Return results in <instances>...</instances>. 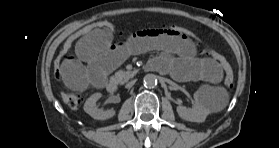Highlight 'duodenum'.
<instances>
[{"mask_svg":"<svg viewBox=\"0 0 279 148\" xmlns=\"http://www.w3.org/2000/svg\"><path fill=\"white\" fill-rule=\"evenodd\" d=\"M118 87H119V82L117 79L109 80L107 84V89L109 92H116L118 90Z\"/></svg>","mask_w":279,"mask_h":148,"instance_id":"410a0bca","label":"duodenum"}]
</instances>
